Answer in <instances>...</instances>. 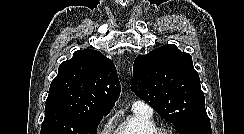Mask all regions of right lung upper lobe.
Listing matches in <instances>:
<instances>
[{
    "label": "right lung upper lobe",
    "instance_id": "1",
    "mask_svg": "<svg viewBox=\"0 0 244 134\" xmlns=\"http://www.w3.org/2000/svg\"><path fill=\"white\" fill-rule=\"evenodd\" d=\"M119 93L113 62L99 51L84 49L60 64L45 107L58 105L81 114L107 115Z\"/></svg>",
    "mask_w": 244,
    "mask_h": 134
}]
</instances>
